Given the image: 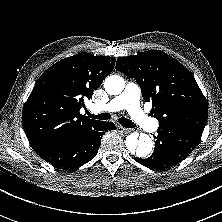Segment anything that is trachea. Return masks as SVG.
Returning <instances> with one entry per match:
<instances>
[{
    "instance_id": "3493384b",
    "label": "trachea",
    "mask_w": 222,
    "mask_h": 222,
    "mask_svg": "<svg viewBox=\"0 0 222 222\" xmlns=\"http://www.w3.org/2000/svg\"><path fill=\"white\" fill-rule=\"evenodd\" d=\"M87 115L90 118L98 119V120H108V119L111 118V115L109 113H102V114L94 115V114H91V113L87 112ZM118 121L125 128H134V127H136V124H134L131 120H129L125 117L119 118Z\"/></svg>"
}]
</instances>
